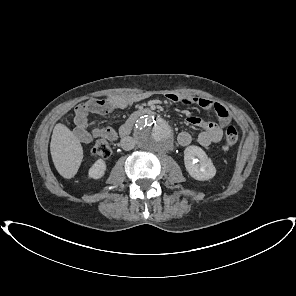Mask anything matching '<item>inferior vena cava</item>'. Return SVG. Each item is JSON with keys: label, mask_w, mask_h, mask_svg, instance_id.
<instances>
[{"label": "inferior vena cava", "mask_w": 296, "mask_h": 296, "mask_svg": "<svg viewBox=\"0 0 296 296\" xmlns=\"http://www.w3.org/2000/svg\"><path fill=\"white\" fill-rule=\"evenodd\" d=\"M134 146H135V140L132 137H124L121 140V147L126 151L133 149Z\"/></svg>", "instance_id": "inferior-vena-cava-1"}]
</instances>
